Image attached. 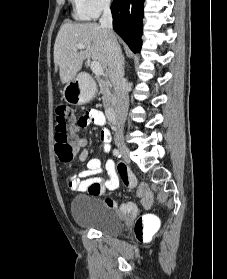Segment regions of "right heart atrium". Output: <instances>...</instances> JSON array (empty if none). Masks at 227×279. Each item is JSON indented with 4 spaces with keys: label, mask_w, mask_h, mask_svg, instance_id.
<instances>
[{
    "label": "right heart atrium",
    "mask_w": 227,
    "mask_h": 279,
    "mask_svg": "<svg viewBox=\"0 0 227 279\" xmlns=\"http://www.w3.org/2000/svg\"><path fill=\"white\" fill-rule=\"evenodd\" d=\"M111 0H81L82 8L89 17H97L110 6Z\"/></svg>",
    "instance_id": "d8ad5b80"
}]
</instances>
